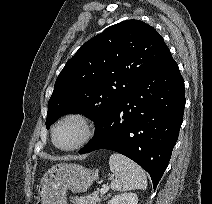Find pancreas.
Returning a JSON list of instances; mask_svg holds the SVG:
<instances>
[{
  "mask_svg": "<svg viewBox=\"0 0 212 204\" xmlns=\"http://www.w3.org/2000/svg\"><path fill=\"white\" fill-rule=\"evenodd\" d=\"M103 198V194L99 195L98 191L86 196V197H72L73 204H96Z\"/></svg>",
  "mask_w": 212,
  "mask_h": 204,
  "instance_id": "pancreas-1",
  "label": "pancreas"
}]
</instances>
